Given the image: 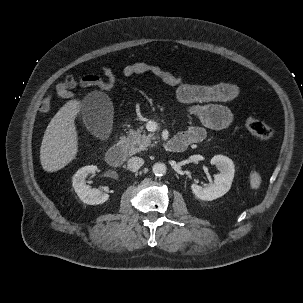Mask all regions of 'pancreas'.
<instances>
[{
  "mask_svg": "<svg viewBox=\"0 0 303 303\" xmlns=\"http://www.w3.org/2000/svg\"><path fill=\"white\" fill-rule=\"evenodd\" d=\"M125 141L130 155L153 147L157 143L154 134L142 133V127L137 130L130 129Z\"/></svg>",
  "mask_w": 303,
  "mask_h": 303,
  "instance_id": "cf45deb5",
  "label": "pancreas"
}]
</instances>
